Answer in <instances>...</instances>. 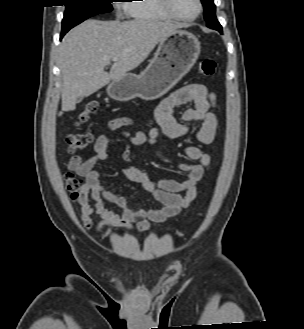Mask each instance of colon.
<instances>
[{"instance_id": "colon-1", "label": "colon", "mask_w": 304, "mask_h": 329, "mask_svg": "<svg viewBox=\"0 0 304 329\" xmlns=\"http://www.w3.org/2000/svg\"><path fill=\"white\" fill-rule=\"evenodd\" d=\"M199 73L204 76H212L216 71V62L213 59H203L198 66ZM99 104L96 101H88L82 105L81 109L77 113L76 122L83 124L89 121V119L98 111ZM92 142V136L89 133H78L67 136L66 143L69 151L84 150L90 146ZM82 181L72 174L66 176V190L70 194L72 200H77L81 189Z\"/></svg>"}]
</instances>
